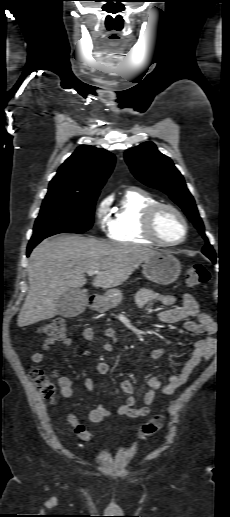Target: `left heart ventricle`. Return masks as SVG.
Listing matches in <instances>:
<instances>
[{
	"label": "left heart ventricle",
	"instance_id": "left-heart-ventricle-1",
	"mask_svg": "<svg viewBox=\"0 0 230 517\" xmlns=\"http://www.w3.org/2000/svg\"><path fill=\"white\" fill-rule=\"evenodd\" d=\"M156 229L160 237L166 241L179 240L184 232L181 220L169 210H163L159 214Z\"/></svg>",
	"mask_w": 230,
	"mask_h": 517
}]
</instances>
